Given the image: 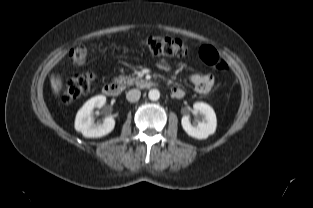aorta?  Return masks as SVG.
Segmentation results:
<instances>
[{
  "label": "aorta",
  "mask_w": 313,
  "mask_h": 208,
  "mask_svg": "<svg viewBox=\"0 0 313 208\" xmlns=\"http://www.w3.org/2000/svg\"><path fill=\"white\" fill-rule=\"evenodd\" d=\"M148 97L152 101H156L160 98V92L157 89H151L148 93Z\"/></svg>",
  "instance_id": "aorta-1"
}]
</instances>
